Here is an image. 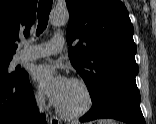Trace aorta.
Listing matches in <instances>:
<instances>
[{
  "instance_id": "obj_1",
  "label": "aorta",
  "mask_w": 156,
  "mask_h": 124,
  "mask_svg": "<svg viewBox=\"0 0 156 124\" xmlns=\"http://www.w3.org/2000/svg\"><path fill=\"white\" fill-rule=\"evenodd\" d=\"M50 23L54 26L64 25L69 20V13L67 9L55 8L51 11L49 16Z\"/></svg>"
}]
</instances>
